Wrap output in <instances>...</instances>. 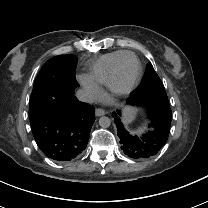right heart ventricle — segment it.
Here are the masks:
<instances>
[{
	"label": "right heart ventricle",
	"instance_id": "right-heart-ventricle-1",
	"mask_svg": "<svg viewBox=\"0 0 208 208\" xmlns=\"http://www.w3.org/2000/svg\"><path fill=\"white\" fill-rule=\"evenodd\" d=\"M134 55L132 51L128 50H118L102 55L91 65L90 79L101 89L104 87L111 89V79L118 64Z\"/></svg>",
	"mask_w": 208,
	"mask_h": 208
}]
</instances>
